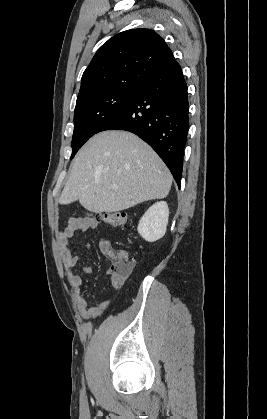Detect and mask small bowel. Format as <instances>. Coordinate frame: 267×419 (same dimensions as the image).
I'll return each instance as SVG.
<instances>
[{
	"instance_id": "1",
	"label": "small bowel",
	"mask_w": 267,
	"mask_h": 419,
	"mask_svg": "<svg viewBox=\"0 0 267 419\" xmlns=\"http://www.w3.org/2000/svg\"><path fill=\"white\" fill-rule=\"evenodd\" d=\"M99 226V223L93 218L89 217H73L69 220L66 227L58 233V245L60 249L61 259L64 265L65 270L69 274V284L73 290L74 300L77 305V309L80 315L84 319L94 318L99 316L103 310L108 306L107 298H103L96 303L88 302L81 293L83 279L82 275L75 271L78 263L79 257L74 255L70 249V242L72 238L78 232H84L87 230H96ZM100 251L107 257H111L114 253V250L105 237H101L99 240ZM93 271L92 267L86 265L82 268L83 274H91ZM112 286L115 289L120 288L124 282L125 277H117L110 275Z\"/></svg>"
}]
</instances>
